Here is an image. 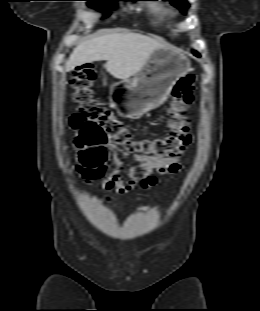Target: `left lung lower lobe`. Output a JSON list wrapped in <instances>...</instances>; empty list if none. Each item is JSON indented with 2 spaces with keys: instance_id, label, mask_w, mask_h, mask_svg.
<instances>
[{
  "instance_id": "obj_1",
  "label": "left lung lower lobe",
  "mask_w": 260,
  "mask_h": 311,
  "mask_svg": "<svg viewBox=\"0 0 260 311\" xmlns=\"http://www.w3.org/2000/svg\"><path fill=\"white\" fill-rule=\"evenodd\" d=\"M196 56H200L199 54H197V53H194Z\"/></svg>"
}]
</instances>
